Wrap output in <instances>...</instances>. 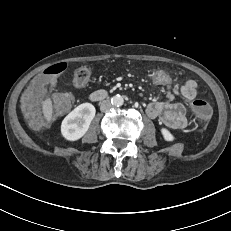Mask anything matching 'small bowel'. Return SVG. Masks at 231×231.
Returning <instances> with one entry per match:
<instances>
[{"label": "small bowel", "instance_id": "obj_1", "mask_svg": "<svg viewBox=\"0 0 231 231\" xmlns=\"http://www.w3.org/2000/svg\"><path fill=\"white\" fill-rule=\"evenodd\" d=\"M166 99L153 101L146 107L147 115L152 118H158L160 123L171 129H183L187 125L186 107L180 102H175L177 96L186 100H193L196 97V82L187 81L185 84L164 86Z\"/></svg>", "mask_w": 231, "mask_h": 231}]
</instances>
